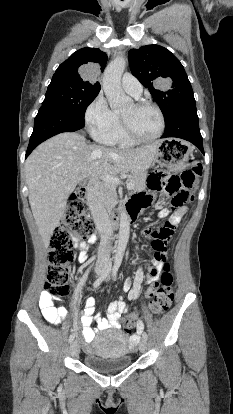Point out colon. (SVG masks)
I'll use <instances>...</instances> for the list:
<instances>
[{"instance_id": "obj_1", "label": "colon", "mask_w": 233, "mask_h": 414, "mask_svg": "<svg viewBox=\"0 0 233 414\" xmlns=\"http://www.w3.org/2000/svg\"><path fill=\"white\" fill-rule=\"evenodd\" d=\"M203 167L200 162L192 161L190 168L180 176L163 171L153 172L147 179L148 188L153 191H165L172 195L174 208L184 206L193 200V190L197 179L202 175ZM86 198V189L78 187L71 196V201L64 214L61 224L54 231L48 249V273L45 284L46 291L54 297H63L68 294V281L72 275L73 244L74 239L69 233L72 231L76 239L85 238L93 230V224L85 215L83 201ZM173 234V227L165 226L153 232L152 248L154 249V261L164 263L159 282H156L147 296L151 298L150 311L154 315H161L169 309L173 302L174 278L169 264L165 263V253L168 241ZM153 271L155 269L153 268ZM138 317L128 315L121 319V326L126 332H131L135 327Z\"/></svg>"}]
</instances>
